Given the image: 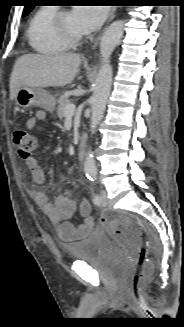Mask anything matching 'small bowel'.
I'll return each instance as SVG.
<instances>
[{
  "label": "small bowel",
  "instance_id": "1",
  "mask_svg": "<svg viewBox=\"0 0 184 327\" xmlns=\"http://www.w3.org/2000/svg\"><path fill=\"white\" fill-rule=\"evenodd\" d=\"M46 116L44 111H38L26 121L28 129H34ZM32 179L35 183L43 185L46 182V175L40 166L37 158L31 157L26 160ZM32 197L44 214L57 225V232L61 239L69 241L85 237L93 227L91 218V205L87 199H82L78 211L84 219L83 222L74 225L69 219L74 215L76 203L70 197L69 192H64L51 202L49 196L41 190H33Z\"/></svg>",
  "mask_w": 184,
  "mask_h": 327
}]
</instances>
